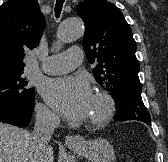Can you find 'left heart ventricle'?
Listing matches in <instances>:
<instances>
[{
	"label": "left heart ventricle",
	"instance_id": "obj_1",
	"mask_svg": "<svg viewBox=\"0 0 168 162\" xmlns=\"http://www.w3.org/2000/svg\"><path fill=\"white\" fill-rule=\"evenodd\" d=\"M101 110H102L101 103L93 97L92 101H91L90 110H89L87 119H90V118L98 115L101 112Z\"/></svg>",
	"mask_w": 168,
	"mask_h": 162
}]
</instances>
